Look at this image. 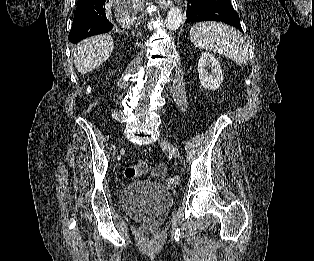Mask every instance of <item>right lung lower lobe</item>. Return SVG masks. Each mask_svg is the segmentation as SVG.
Masks as SVG:
<instances>
[{
  "instance_id": "obj_1",
  "label": "right lung lower lobe",
  "mask_w": 314,
  "mask_h": 261,
  "mask_svg": "<svg viewBox=\"0 0 314 261\" xmlns=\"http://www.w3.org/2000/svg\"><path fill=\"white\" fill-rule=\"evenodd\" d=\"M106 3L107 0H78L69 41L78 43L113 28V24L106 18Z\"/></svg>"
}]
</instances>
